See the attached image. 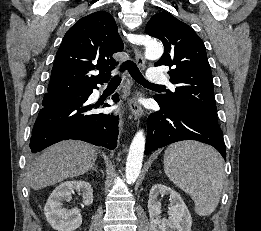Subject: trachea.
<instances>
[{
	"label": "trachea",
	"mask_w": 261,
	"mask_h": 231,
	"mask_svg": "<svg viewBox=\"0 0 261 231\" xmlns=\"http://www.w3.org/2000/svg\"><path fill=\"white\" fill-rule=\"evenodd\" d=\"M125 70H128L129 73L131 74L132 78L140 84L147 85V86H153V87H164L162 85H157V84L148 82V80H146L143 77V75L141 74V72L139 71L137 65L131 60H128L121 65L120 72H123ZM120 80H121V77L119 75L115 76L112 79V81H120Z\"/></svg>",
	"instance_id": "obj_1"
}]
</instances>
